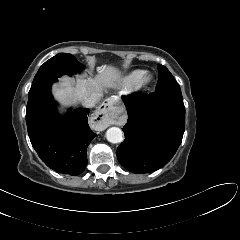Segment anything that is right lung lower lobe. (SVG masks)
Instances as JSON below:
<instances>
[{"label": "right lung lower lobe", "instance_id": "right-lung-lower-lobe-1", "mask_svg": "<svg viewBox=\"0 0 240 240\" xmlns=\"http://www.w3.org/2000/svg\"><path fill=\"white\" fill-rule=\"evenodd\" d=\"M41 85L28 96L26 123L31 144L41 160L56 172L77 176L86 165V149L96 136L88 126L89 109L78 108L57 115L50 87Z\"/></svg>", "mask_w": 240, "mask_h": 240}]
</instances>
